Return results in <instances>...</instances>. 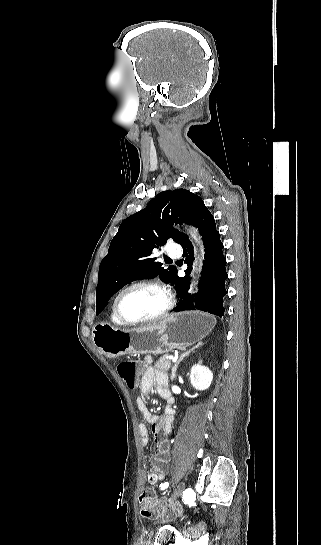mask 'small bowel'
Returning a JSON list of instances; mask_svg holds the SVG:
<instances>
[{
	"label": "small bowel",
	"mask_w": 321,
	"mask_h": 545,
	"mask_svg": "<svg viewBox=\"0 0 321 545\" xmlns=\"http://www.w3.org/2000/svg\"><path fill=\"white\" fill-rule=\"evenodd\" d=\"M145 362L147 366L142 374L139 385L141 396L137 398L136 404L145 419L150 423L151 433L156 444V453L150 458L153 472L148 476V483L150 485H155L165 479L171 457L168 435L172 430L173 410L168 408L166 415L159 418L147 409L146 399L149 397L154 386L156 392L161 397L169 398L170 393L168 390L167 375L152 367L150 365V359H146ZM139 434L141 437V444L147 446L149 443V430L145 424L139 425Z\"/></svg>",
	"instance_id": "1"
}]
</instances>
